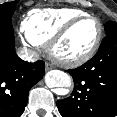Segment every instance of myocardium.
Masks as SVG:
<instances>
[{
    "instance_id": "1",
    "label": "myocardium",
    "mask_w": 117,
    "mask_h": 117,
    "mask_svg": "<svg viewBox=\"0 0 117 117\" xmlns=\"http://www.w3.org/2000/svg\"><path fill=\"white\" fill-rule=\"evenodd\" d=\"M92 19L97 23L98 31L95 41L91 48L81 56L65 57L58 52V46L67 37V35L82 21ZM103 38V25L99 18L93 15H81L67 22L54 36L51 37L47 44L49 56L59 65L75 67L80 66L91 60L97 53Z\"/></svg>"
}]
</instances>
